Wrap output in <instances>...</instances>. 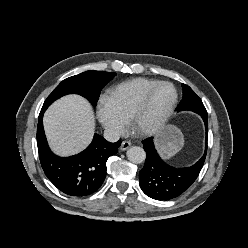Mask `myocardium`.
<instances>
[{
	"label": "myocardium",
	"mask_w": 248,
	"mask_h": 248,
	"mask_svg": "<svg viewBox=\"0 0 248 248\" xmlns=\"http://www.w3.org/2000/svg\"><path fill=\"white\" fill-rule=\"evenodd\" d=\"M161 86H169L173 89L174 92L173 100L171 101L168 108L164 111V113H162L155 121H153L148 125H143L141 123V119L146 109L148 108L154 93ZM177 101H178V91L172 83L167 81H160L156 83L145 93L141 101L134 108L129 120L132 130L141 136H151L157 133L159 130H161L164 127V125L171 117L176 107Z\"/></svg>",
	"instance_id": "f54148a6"
}]
</instances>
